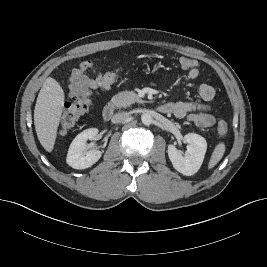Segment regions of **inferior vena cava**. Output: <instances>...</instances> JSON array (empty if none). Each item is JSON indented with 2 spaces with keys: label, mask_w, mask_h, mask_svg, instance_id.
I'll use <instances>...</instances> for the list:
<instances>
[{
  "label": "inferior vena cava",
  "mask_w": 267,
  "mask_h": 267,
  "mask_svg": "<svg viewBox=\"0 0 267 267\" xmlns=\"http://www.w3.org/2000/svg\"><path fill=\"white\" fill-rule=\"evenodd\" d=\"M129 114L126 113V112H120V113H116L111 121L113 123H120V122H123L124 120H126L128 118Z\"/></svg>",
  "instance_id": "obj_1"
}]
</instances>
